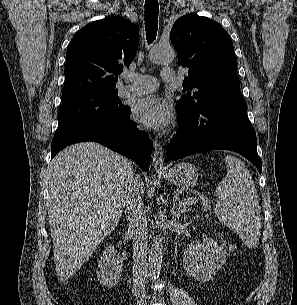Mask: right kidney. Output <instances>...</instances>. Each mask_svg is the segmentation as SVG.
Returning <instances> with one entry per match:
<instances>
[{"label":"right kidney","instance_id":"1","mask_svg":"<svg viewBox=\"0 0 297 305\" xmlns=\"http://www.w3.org/2000/svg\"><path fill=\"white\" fill-rule=\"evenodd\" d=\"M123 259L113 246H108L103 251L97 267V279L102 286L112 288L121 277Z\"/></svg>","mask_w":297,"mask_h":305}]
</instances>
